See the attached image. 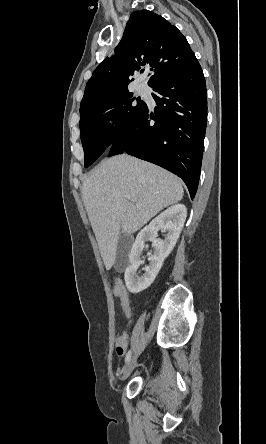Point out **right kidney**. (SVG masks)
<instances>
[{"label": "right kidney", "mask_w": 266, "mask_h": 444, "mask_svg": "<svg viewBox=\"0 0 266 444\" xmlns=\"http://www.w3.org/2000/svg\"><path fill=\"white\" fill-rule=\"evenodd\" d=\"M186 216L187 209L183 204L174 205L153 219L138 233L129 255L130 265L124 274L129 292L139 293L153 283L164 260L171 253L179 238ZM158 230L166 232L164 240L158 238ZM147 241L152 242L153 253L149 255V265L144 268L145 273L139 277L136 271L141 264V254Z\"/></svg>", "instance_id": "1"}]
</instances>
